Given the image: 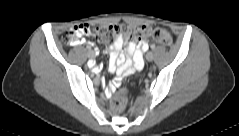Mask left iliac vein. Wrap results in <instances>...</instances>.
<instances>
[{
    "label": "left iliac vein",
    "instance_id": "1",
    "mask_svg": "<svg viewBox=\"0 0 239 136\" xmlns=\"http://www.w3.org/2000/svg\"><path fill=\"white\" fill-rule=\"evenodd\" d=\"M145 57L147 61H152L154 58V55L152 52H148Z\"/></svg>",
    "mask_w": 239,
    "mask_h": 136
}]
</instances>
